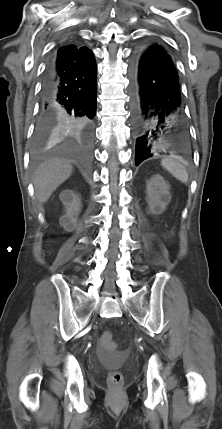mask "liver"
Segmentation results:
<instances>
[{"instance_id": "obj_1", "label": "liver", "mask_w": 222, "mask_h": 429, "mask_svg": "<svg viewBox=\"0 0 222 429\" xmlns=\"http://www.w3.org/2000/svg\"><path fill=\"white\" fill-rule=\"evenodd\" d=\"M72 170L71 162L66 159L54 158L43 162L33 176L37 200L47 202L56 188L70 177Z\"/></svg>"}]
</instances>
